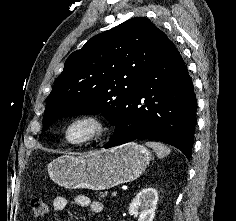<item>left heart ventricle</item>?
I'll return each instance as SVG.
<instances>
[{
    "label": "left heart ventricle",
    "instance_id": "obj_1",
    "mask_svg": "<svg viewBox=\"0 0 236 221\" xmlns=\"http://www.w3.org/2000/svg\"><path fill=\"white\" fill-rule=\"evenodd\" d=\"M90 132V126L88 124H79L71 128L69 131V137L72 140H78L87 136Z\"/></svg>",
    "mask_w": 236,
    "mask_h": 221
}]
</instances>
